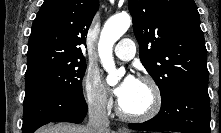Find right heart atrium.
<instances>
[{
	"label": "right heart atrium",
	"mask_w": 221,
	"mask_h": 133,
	"mask_svg": "<svg viewBox=\"0 0 221 133\" xmlns=\"http://www.w3.org/2000/svg\"><path fill=\"white\" fill-rule=\"evenodd\" d=\"M83 96L89 109L106 113L111 107V99L101 82L97 71L88 70L82 82Z\"/></svg>",
	"instance_id": "d8ad5b80"
}]
</instances>
